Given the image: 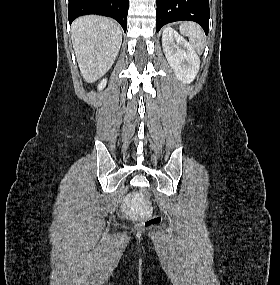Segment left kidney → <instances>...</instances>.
I'll return each mask as SVG.
<instances>
[{"instance_id": "left-kidney-1", "label": "left kidney", "mask_w": 280, "mask_h": 285, "mask_svg": "<svg viewBox=\"0 0 280 285\" xmlns=\"http://www.w3.org/2000/svg\"><path fill=\"white\" fill-rule=\"evenodd\" d=\"M162 46L176 77L183 83L192 82L200 66V59L193 47L171 27L163 30Z\"/></svg>"}]
</instances>
